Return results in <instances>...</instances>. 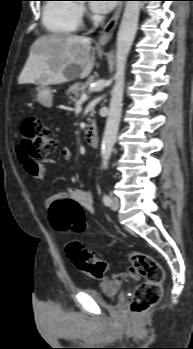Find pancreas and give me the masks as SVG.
I'll return each mask as SVG.
<instances>
[{"label": "pancreas", "instance_id": "1", "mask_svg": "<svg viewBox=\"0 0 193 349\" xmlns=\"http://www.w3.org/2000/svg\"><path fill=\"white\" fill-rule=\"evenodd\" d=\"M87 88V84L77 82L73 85H71L68 90L66 91V96L71 102H76L77 98L80 96V94H83Z\"/></svg>", "mask_w": 193, "mask_h": 349}]
</instances>
